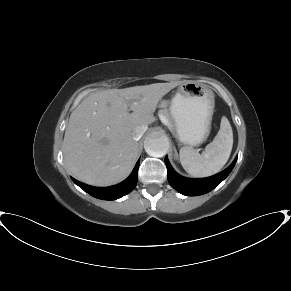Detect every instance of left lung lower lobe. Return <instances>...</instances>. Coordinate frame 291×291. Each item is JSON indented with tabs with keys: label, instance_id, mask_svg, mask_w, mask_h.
<instances>
[{
	"label": "left lung lower lobe",
	"instance_id": "obj_1",
	"mask_svg": "<svg viewBox=\"0 0 291 291\" xmlns=\"http://www.w3.org/2000/svg\"><path fill=\"white\" fill-rule=\"evenodd\" d=\"M236 160L237 159H235L227 169L214 176L202 179H190L177 174L170 165L167 157H165V164L168 170V181L175 190L183 195H202L214 189L230 174L235 166Z\"/></svg>",
	"mask_w": 291,
	"mask_h": 291
}]
</instances>
